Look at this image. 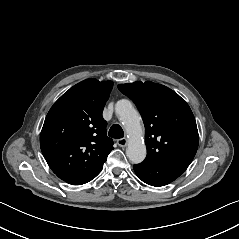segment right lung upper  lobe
Returning <instances> with one entry per match:
<instances>
[{"label": "right lung upper lobe", "instance_id": "1", "mask_svg": "<svg viewBox=\"0 0 239 239\" xmlns=\"http://www.w3.org/2000/svg\"><path fill=\"white\" fill-rule=\"evenodd\" d=\"M112 81L86 79L64 93L48 112L40 147L56 175H91L114 149L102 111Z\"/></svg>", "mask_w": 239, "mask_h": 239}]
</instances>
